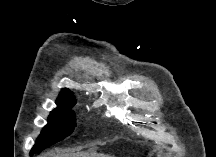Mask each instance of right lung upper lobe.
<instances>
[{
    "mask_svg": "<svg viewBox=\"0 0 216 157\" xmlns=\"http://www.w3.org/2000/svg\"><path fill=\"white\" fill-rule=\"evenodd\" d=\"M67 96H72V97H74V96L72 95V93H71L68 89L64 88V89H62V91H61V93H60V95H59L58 98L67 97Z\"/></svg>",
    "mask_w": 216,
    "mask_h": 157,
    "instance_id": "cb5924a9",
    "label": "right lung upper lobe"
}]
</instances>
